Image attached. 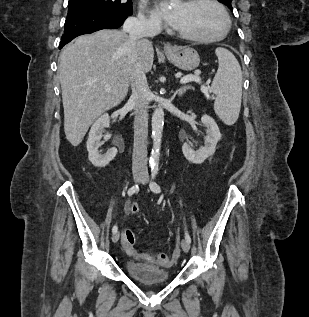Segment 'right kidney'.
<instances>
[{
    "mask_svg": "<svg viewBox=\"0 0 309 317\" xmlns=\"http://www.w3.org/2000/svg\"><path fill=\"white\" fill-rule=\"evenodd\" d=\"M109 122L108 114H103L95 121L89 132L87 140L88 159L95 167H105L117 154L115 147L109 149L105 154L99 151V147L101 146L100 140L103 136L104 129L109 126Z\"/></svg>",
    "mask_w": 309,
    "mask_h": 317,
    "instance_id": "1",
    "label": "right kidney"
}]
</instances>
